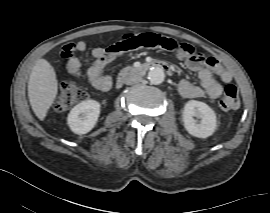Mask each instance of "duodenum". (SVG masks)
<instances>
[{"label": "duodenum", "mask_w": 270, "mask_h": 213, "mask_svg": "<svg viewBox=\"0 0 270 213\" xmlns=\"http://www.w3.org/2000/svg\"><path fill=\"white\" fill-rule=\"evenodd\" d=\"M152 67H156V68H160L162 69L163 71L165 70H168L167 73L171 74L172 71L170 69L167 68V65L163 62H160V61H156V62H153V63H147V64H144L142 66H140L138 69H136L135 73L136 74H142V73H145L146 71H148L149 69H151ZM131 72L126 70V71H123L118 79V82H117V86H121L122 85V82H123V79L125 76H127L128 74H130Z\"/></svg>", "instance_id": "410a0bca"}]
</instances>
